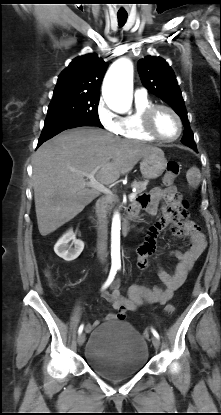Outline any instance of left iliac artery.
Returning a JSON list of instances; mask_svg holds the SVG:
<instances>
[{"instance_id":"44dca946","label":"left iliac artery","mask_w":221,"mask_h":415,"mask_svg":"<svg viewBox=\"0 0 221 415\" xmlns=\"http://www.w3.org/2000/svg\"><path fill=\"white\" fill-rule=\"evenodd\" d=\"M152 333L155 337L159 338V334L155 329H152Z\"/></svg>"}]
</instances>
